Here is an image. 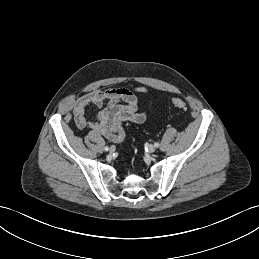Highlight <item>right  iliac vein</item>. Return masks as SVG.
<instances>
[{
	"label": "right iliac vein",
	"mask_w": 259,
	"mask_h": 259,
	"mask_svg": "<svg viewBox=\"0 0 259 259\" xmlns=\"http://www.w3.org/2000/svg\"><path fill=\"white\" fill-rule=\"evenodd\" d=\"M110 153H113L115 151V147L114 146H111L110 149H109Z\"/></svg>",
	"instance_id": "obj_1"
}]
</instances>
